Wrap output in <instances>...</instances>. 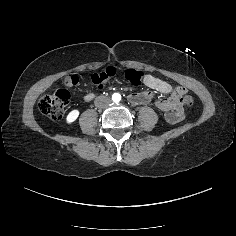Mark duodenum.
Wrapping results in <instances>:
<instances>
[{
	"label": "duodenum",
	"instance_id": "obj_1",
	"mask_svg": "<svg viewBox=\"0 0 236 236\" xmlns=\"http://www.w3.org/2000/svg\"><path fill=\"white\" fill-rule=\"evenodd\" d=\"M94 97L93 94L86 96V100H91ZM130 101L136 104H147L153 98L148 93L132 94L129 97ZM157 104L164 111L167 119L173 123L180 121L183 118V109L181 103L176 95H173L167 100L157 101Z\"/></svg>",
	"mask_w": 236,
	"mask_h": 236
}]
</instances>
